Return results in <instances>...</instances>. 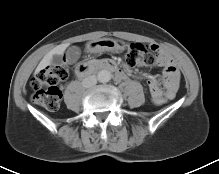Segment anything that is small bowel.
<instances>
[{
	"label": "small bowel",
	"mask_w": 219,
	"mask_h": 174,
	"mask_svg": "<svg viewBox=\"0 0 219 174\" xmlns=\"http://www.w3.org/2000/svg\"><path fill=\"white\" fill-rule=\"evenodd\" d=\"M150 48L157 54L156 64L163 68L165 85L157 84L156 80L149 79L146 82V90L151 95L162 96L165 94V96L173 99L176 96L178 89L180 77L179 70L168 52L157 45H152ZM125 77V72L121 70L116 74L117 81H121L125 79Z\"/></svg>",
	"instance_id": "small-bowel-1"
}]
</instances>
